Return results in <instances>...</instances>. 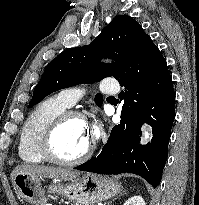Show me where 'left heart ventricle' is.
Instances as JSON below:
<instances>
[{"mask_svg":"<svg viewBox=\"0 0 199 205\" xmlns=\"http://www.w3.org/2000/svg\"><path fill=\"white\" fill-rule=\"evenodd\" d=\"M91 141L87 124L73 118L67 120L56 132L54 149L63 158H74L80 155Z\"/></svg>","mask_w":199,"mask_h":205,"instance_id":"b2bd125f","label":"left heart ventricle"}]
</instances>
